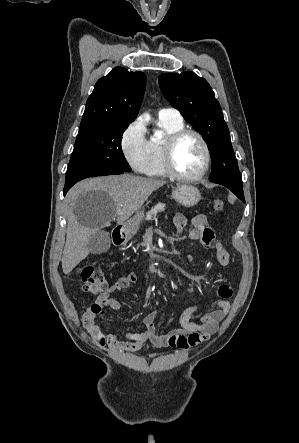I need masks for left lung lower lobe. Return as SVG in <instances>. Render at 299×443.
I'll use <instances>...</instances> for the list:
<instances>
[{"label":"left lung lower lobe","mask_w":299,"mask_h":443,"mask_svg":"<svg viewBox=\"0 0 299 443\" xmlns=\"http://www.w3.org/2000/svg\"><path fill=\"white\" fill-rule=\"evenodd\" d=\"M213 183H217L223 185L230 189L240 200L245 203L244 195H243V185H238L228 181H211Z\"/></svg>","instance_id":"0a47b994"}]
</instances>
